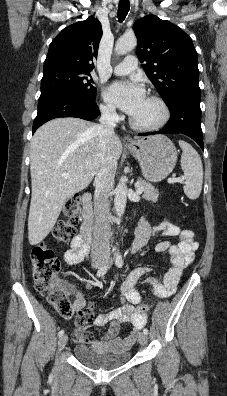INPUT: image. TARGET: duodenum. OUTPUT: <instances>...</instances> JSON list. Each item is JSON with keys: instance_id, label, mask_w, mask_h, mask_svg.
<instances>
[{"instance_id": "410a0bca", "label": "duodenum", "mask_w": 227, "mask_h": 396, "mask_svg": "<svg viewBox=\"0 0 227 396\" xmlns=\"http://www.w3.org/2000/svg\"><path fill=\"white\" fill-rule=\"evenodd\" d=\"M83 210H82V224L80 228V237L83 243L88 246L91 241L92 230H93V207L92 198L90 194H84L82 198Z\"/></svg>"}]
</instances>
